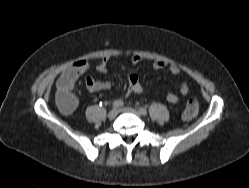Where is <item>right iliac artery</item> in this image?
<instances>
[{
    "label": "right iliac artery",
    "instance_id": "right-iliac-artery-1",
    "mask_svg": "<svg viewBox=\"0 0 249 188\" xmlns=\"http://www.w3.org/2000/svg\"><path fill=\"white\" fill-rule=\"evenodd\" d=\"M123 105H124V102L122 100H116L112 104L113 108H119V107H122Z\"/></svg>",
    "mask_w": 249,
    "mask_h": 188
}]
</instances>
